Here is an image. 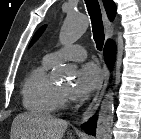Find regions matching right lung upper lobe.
<instances>
[{
    "mask_svg": "<svg viewBox=\"0 0 141 139\" xmlns=\"http://www.w3.org/2000/svg\"><path fill=\"white\" fill-rule=\"evenodd\" d=\"M109 19L112 21L116 15V5L113 0H103Z\"/></svg>",
    "mask_w": 141,
    "mask_h": 139,
    "instance_id": "cb5924a9",
    "label": "right lung upper lobe"
}]
</instances>
